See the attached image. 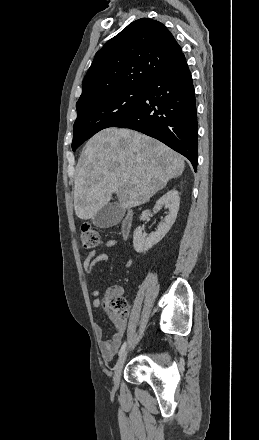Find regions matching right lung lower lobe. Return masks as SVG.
Returning a JSON list of instances; mask_svg holds the SVG:
<instances>
[{"label": "right lung lower lobe", "mask_w": 259, "mask_h": 440, "mask_svg": "<svg viewBox=\"0 0 259 440\" xmlns=\"http://www.w3.org/2000/svg\"><path fill=\"white\" fill-rule=\"evenodd\" d=\"M158 139L197 169V115L192 76L183 55L148 86L136 109L114 125Z\"/></svg>", "instance_id": "98d812e1"}]
</instances>
